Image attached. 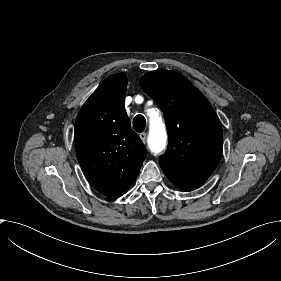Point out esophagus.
Instances as JSON below:
<instances>
[{
	"mask_svg": "<svg viewBox=\"0 0 281 281\" xmlns=\"http://www.w3.org/2000/svg\"><path fill=\"white\" fill-rule=\"evenodd\" d=\"M140 138H141V140L145 143V142H146V139H147V133H146V132L140 133Z\"/></svg>",
	"mask_w": 281,
	"mask_h": 281,
	"instance_id": "34e87169",
	"label": "esophagus"
}]
</instances>
